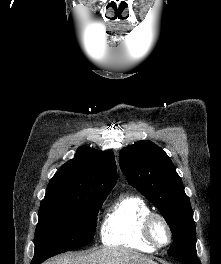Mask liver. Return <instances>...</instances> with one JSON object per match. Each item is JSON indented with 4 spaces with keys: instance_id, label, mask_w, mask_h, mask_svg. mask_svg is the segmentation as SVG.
Here are the masks:
<instances>
[{
    "instance_id": "liver-1",
    "label": "liver",
    "mask_w": 221,
    "mask_h": 264,
    "mask_svg": "<svg viewBox=\"0 0 221 264\" xmlns=\"http://www.w3.org/2000/svg\"><path fill=\"white\" fill-rule=\"evenodd\" d=\"M149 257L124 248H103L86 254L62 255L44 264H146Z\"/></svg>"
}]
</instances>
